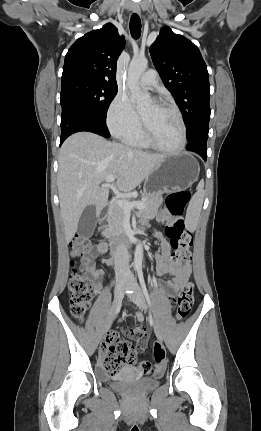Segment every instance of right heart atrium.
Masks as SVG:
<instances>
[{
	"label": "right heart atrium",
	"instance_id": "d8ad5b80",
	"mask_svg": "<svg viewBox=\"0 0 261 431\" xmlns=\"http://www.w3.org/2000/svg\"><path fill=\"white\" fill-rule=\"evenodd\" d=\"M106 120L115 137H127L140 128L139 116L123 92H118L111 101Z\"/></svg>",
	"mask_w": 261,
	"mask_h": 431
}]
</instances>
